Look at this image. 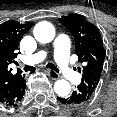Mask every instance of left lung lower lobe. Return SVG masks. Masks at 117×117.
Returning <instances> with one entry per match:
<instances>
[{"instance_id":"obj_1","label":"left lung lower lobe","mask_w":117,"mask_h":117,"mask_svg":"<svg viewBox=\"0 0 117 117\" xmlns=\"http://www.w3.org/2000/svg\"><path fill=\"white\" fill-rule=\"evenodd\" d=\"M90 98L88 91L79 85L72 95L58 97V100L64 105L77 106L85 104Z\"/></svg>"}]
</instances>
